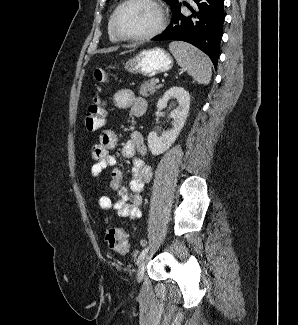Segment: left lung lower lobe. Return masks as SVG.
Wrapping results in <instances>:
<instances>
[{
  "label": "left lung lower lobe",
  "mask_w": 298,
  "mask_h": 325,
  "mask_svg": "<svg viewBox=\"0 0 298 325\" xmlns=\"http://www.w3.org/2000/svg\"><path fill=\"white\" fill-rule=\"evenodd\" d=\"M181 13V3L171 4L172 20L167 29L152 40H181L205 52L217 66L224 22V0H193ZM185 5V4H184Z\"/></svg>",
  "instance_id": "1"
}]
</instances>
